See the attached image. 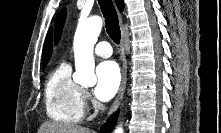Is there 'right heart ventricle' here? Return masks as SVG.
Returning <instances> with one entry per match:
<instances>
[{
  "instance_id": "1",
  "label": "right heart ventricle",
  "mask_w": 221,
  "mask_h": 133,
  "mask_svg": "<svg viewBox=\"0 0 221 133\" xmlns=\"http://www.w3.org/2000/svg\"><path fill=\"white\" fill-rule=\"evenodd\" d=\"M45 107L48 117L60 124H77L84 115L83 89L71 77L67 63L58 65L45 84Z\"/></svg>"
}]
</instances>
